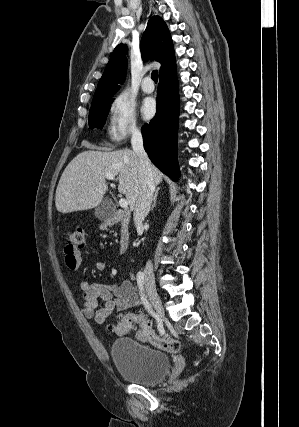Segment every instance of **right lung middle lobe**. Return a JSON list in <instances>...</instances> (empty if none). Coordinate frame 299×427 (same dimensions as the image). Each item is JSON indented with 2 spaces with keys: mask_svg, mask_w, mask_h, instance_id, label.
<instances>
[{
  "mask_svg": "<svg viewBox=\"0 0 299 427\" xmlns=\"http://www.w3.org/2000/svg\"><path fill=\"white\" fill-rule=\"evenodd\" d=\"M112 96H105L92 101L91 109L89 111V126L93 128H102L106 120V115L110 109Z\"/></svg>",
  "mask_w": 299,
  "mask_h": 427,
  "instance_id": "obj_1",
  "label": "right lung middle lobe"
}]
</instances>
